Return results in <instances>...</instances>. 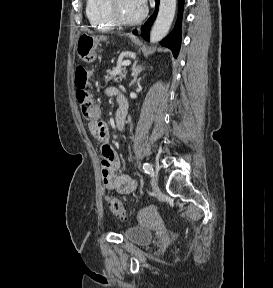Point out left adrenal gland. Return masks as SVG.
<instances>
[{
	"label": "left adrenal gland",
	"mask_w": 273,
	"mask_h": 288,
	"mask_svg": "<svg viewBox=\"0 0 273 288\" xmlns=\"http://www.w3.org/2000/svg\"><path fill=\"white\" fill-rule=\"evenodd\" d=\"M142 70H144V68L137 65V61H135L133 66H132V74L131 75L133 77V80L131 81L130 86H132L136 82L137 77Z\"/></svg>",
	"instance_id": "a2214340"
}]
</instances>
